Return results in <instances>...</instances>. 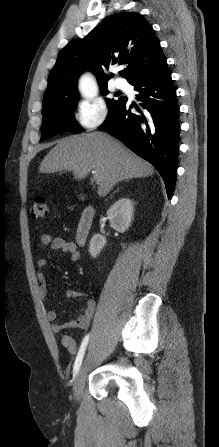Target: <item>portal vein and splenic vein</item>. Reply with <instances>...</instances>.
<instances>
[{"label":"portal vein and splenic vein","instance_id":"1","mask_svg":"<svg viewBox=\"0 0 219 447\" xmlns=\"http://www.w3.org/2000/svg\"><path fill=\"white\" fill-rule=\"evenodd\" d=\"M92 173H93V174H96V172H95V171H92Z\"/></svg>","mask_w":219,"mask_h":447}]
</instances>
